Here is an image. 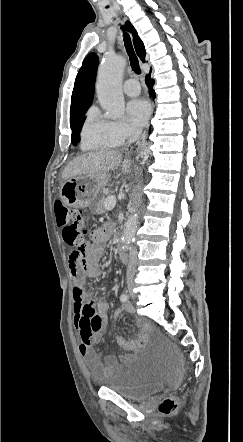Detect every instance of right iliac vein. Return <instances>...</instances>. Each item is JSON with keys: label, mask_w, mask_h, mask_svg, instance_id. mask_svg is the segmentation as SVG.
<instances>
[{"label": "right iliac vein", "mask_w": 243, "mask_h": 442, "mask_svg": "<svg viewBox=\"0 0 243 442\" xmlns=\"http://www.w3.org/2000/svg\"><path fill=\"white\" fill-rule=\"evenodd\" d=\"M133 284L132 283H130L129 285H128V287H127V292H129V294L134 298L135 297V294H134V292H133Z\"/></svg>", "instance_id": "1"}]
</instances>
